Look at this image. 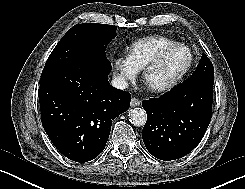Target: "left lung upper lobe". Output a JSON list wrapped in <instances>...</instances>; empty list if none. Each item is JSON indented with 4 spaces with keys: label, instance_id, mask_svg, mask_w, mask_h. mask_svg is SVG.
I'll return each mask as SVG.
<instances>
[{
    "label": "left lung upper lobe",
    "instance_id": "5c2ea615",
    "mask_svg": "<svg viewBox=\"0 0 245 189\" xmlns=\"http://www.w3.org/2000/svg\"><path fill=\"white\" fill-rule=\"evenodd\" d=\"M192 77H202L210 81H214V68L212 62L205 54L202 55L201 60L191 78Z\"/></svg>",
    "mask_w": 245,
    "mask_h": 189
}]
</instances>
